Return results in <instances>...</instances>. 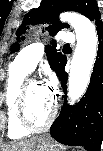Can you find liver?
<instances>
[{"instance_id":"obj_1","label":"liver","mask_w":103,"mask_h":151,"mask_svg":"<svg viewBox=\"0 0 103 151\" xmlns=\"http://www.w3.org/2000/svg\"><path fill=\"white\" fill-rule=\"evenodd\" d=\"M39 137L22 140L7 146L3 151H33Z\"/></svg>"}]
</instances>
